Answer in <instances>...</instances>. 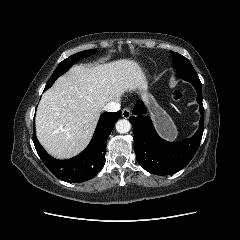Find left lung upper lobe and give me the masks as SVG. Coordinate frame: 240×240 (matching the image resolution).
Wrapping results in <instances>:
<instances>
[{
    "mask_svg": "<svg viewBox=\"0 0 240 240\" xmlns=\"http://www.w3.org/2000/svg\"><path fill=\"white\" fill-rule=\"evenodd\" d=\"M170 53L173 56V65L176 68L177 77L184 80L199 79L195 69L187 58L172 51H170Z\"/></svg>",
    "mask_w": 240,
    "mask_h": 240,
    "instance_id": "5c2ea615",
    "label": "left lung upper lobe"
}]
</instances>
